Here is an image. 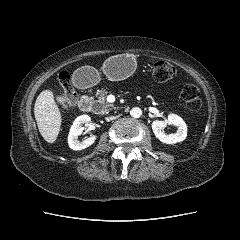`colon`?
I'll return each instance as SVG.
<instances>
[{
    "instance_id": "colon-1",
    "label": "colon",
    "mask_w": 240,
    "mask_h": 240,
    "mask_svg": "<svg viewBox=\"0 0 240 240\" xmlns=\"http://www.w3.org/2000/svg\"><path fill=\"white\" fill-rule=\"evenodd\" d=\"M176 74L175 67L166 61H157L152 66V76L157 82H165ZM62 95L59 104L62 108H68L76 103V94L70 82L68 72L62 71L59 76ZM181 97L191 111H198L202 107V99L199 88L194 84H186L181 90Z\"/></svg>"
}]
</instances>
